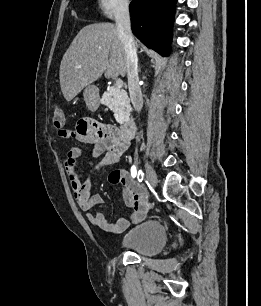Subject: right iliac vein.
Segmentation results:
<instances>
[{
	"label": "right iliac vein",
	"mask_w": 261,
	"mask_h": 306,
	"mask_svg": "<svg viewBox=\"0 0 261 306\" xmlns=\"http://www.w3.org/2000/svg\"><path fill=\"white\" fill-rule=\"evenodd\" d=\"M145 168L147 181L152 187H155L157 185V176L154 169L147 161L145 163Z\"/></svg>",
	"instance_id": "obj_1"
}]
</instances>
